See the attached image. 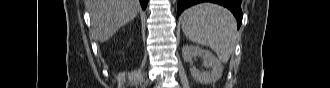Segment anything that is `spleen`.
<instances>
[{"instance_id": "3e777b00", "label": "spleen", "mask_w": 330, "mask_h": 88, "mask_svg": "<svg viewBox=\"0 0 330 88\" xmlns=\"http://www.w3.org/2000/svg\"><path fill=\"white\" fill-rule=\"evenodd\" d=\"M182 30L192 42L210 47L227 63L237 44V26L232 13L213 3H200L182 15Z\"/></svg>"}]
</instances>
